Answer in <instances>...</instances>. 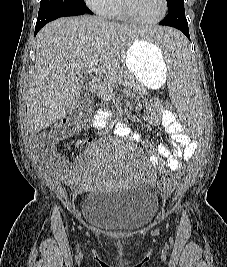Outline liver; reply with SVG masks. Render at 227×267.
<instances>
[{
    "label": "liver",
    "mask_w": 227,
    "mask_h": 267,
    "mask_svg": "<svg viewBox=\"0 0 227 267\" xmlns=\"http://www.w3.org/2000/svg\"><path fill=\"white\" fill-rule=\"evenodd\" d=\"M97 16L60 18L37 34L34 72L26 91L27 128L31 134L66 116L81 92L77 77L90 62L113 71L125 51L147 30H135Z\"/></svg>",
    "instance_id": "1"
}]
</instances>
